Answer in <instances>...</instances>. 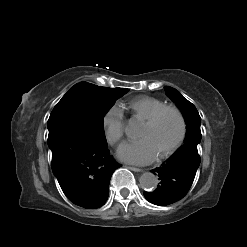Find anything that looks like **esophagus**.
Listing matches in <instances>:
<instances>
[{
    "label": "esophagus",
    "mask_w": 247,
    "mask_h": 247,
    "mask_svg": "<svg viewBox=\"0 0 247 247\" xmlns=\"http://www.w3.org/2000/svg\"><path fill=\"white\" fill-rule=\"evenodd\" d=\"M128 168H129L130 170L134 171V172H141V171H143L142 169L137 168V167L128 166Z\"/></svg>",
    "instance_id": "34e87169"
}]
</instances>
